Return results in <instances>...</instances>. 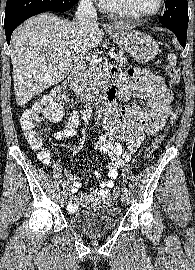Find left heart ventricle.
I'll return each instance as SVG.
<instances>
[{
	"label": "left heart ventricle",
	"instance_id": "b2bd125f",
	"mask_svg": "<svg viewBox=\"0 0 195 270\" xmlns=\"http://www.w3.org/2000/svg\"><path fill=\"white\" fill-rule=\"evenodd\" d=\"M133 9L139 13H149L156 9L158 0H129Z\"/></svg>",
	"mask_w": 195,
	"mask_h": 270
}]
</instances>
